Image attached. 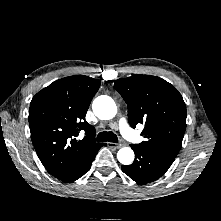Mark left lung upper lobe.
Segmentation results:
<instances>
[{"label":"left lung upper lobe","mask_w":221,"mask_h":221,"mask_svg":"<svg viewBox=\"0 0 221 221\" xmlns=\"http://www.w3.org/2000/svg\"><path fill=\"white\" fill-rule=\"evenodd\" d=\"M128 105V119L135 128L144 124L139 145L176 157L186 129V105L181 94L162 78L136 74L114 83Z\"/></svg>","instance_id":"5c2ea615"}]
</instances>
